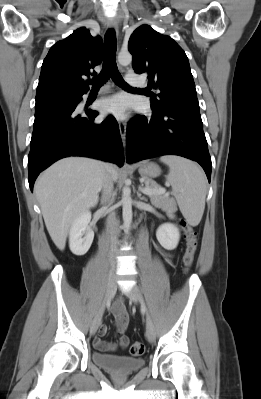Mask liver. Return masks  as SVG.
I'll list each match as a JSON object with an SVG mask.
<instances>
[{"label": "liver", "mask_w": 261, "mask_h": 399, "mask_svg": "<svg viewBox=\"0 0 261 399\" xmlns=\"http://www.w3.org/2000/svg\"><path fill=\"white\" fill-rule=\"evenodd\" d=\"M118 178L116 167L85 157L61 159L45 170L34 191L46 228L58 249L64 250L73 221L94 207L105 174Z\"/></svg>", "instance_id": "liver-1"}]
</instances>
